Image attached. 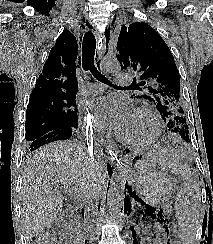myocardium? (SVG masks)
I'll return each mask as SVG.
<instances>
[{"label": "myocardium", "instance_id": "f54148a6", "mask_svg": "<svg viewBox=\"0 0 213 244\" xmlns=\"http://www.w3.org/2000/svg\"><path fill=\"white\" fill-rule=\"evenodd\" d=\"M133 113L143 114L150 119V121L153 125L152 134L144 139L131 140V139H128V138L122 136L121 133H118V135H117L118 140L120 142H122L123 144L129 145V146H135V147L147 146V145H150V144L156 142L161 135V124H160V120H159L158 116L156 115V113L150 107H147V106L136 107V108H134Z\"/></svg>", "mask_w": 213, "mask_h": 244}]
</instances>
